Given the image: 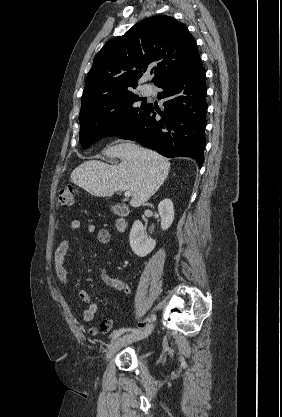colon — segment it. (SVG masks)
<instances>
[{"mask_svg":"<svg viewBox=\"0 0 282 417\" xmlns=\"http://www.w3.org/2000/svg\"><path fill=\"white\" fill-rule=\"evenodd\" d=\"M74 199L75 190L72 184L62 186L56 196V202L60 208L71 206L74 203Z\"/></svg>","mask_w":282,"mask_h":417,"instance_id":"5ec220e1","label":"colon"}]
</instances>
